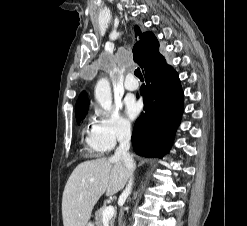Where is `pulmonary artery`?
<instances>
[{
  "instance_id": "pulmonary-artery-1",
  "label": "pulmonary artery",
  "mask_w": 247,
  "mask_h": 226,
  "mask_svg": "<svg viewBox=\"0 0 247 226\" xmlns=\"http://www.w3.org/2000/svg\"><path fill=\"white\" fill-rule=\"evenodd\" d=\"M138 86V82L132 76H127L124 83V87L127 91H134L138 88Z\"/></svg>"
}]
</instances>
